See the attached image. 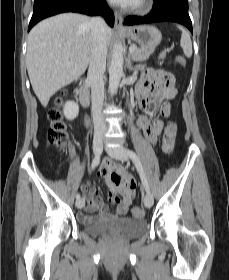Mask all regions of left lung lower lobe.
<instances>
[{"mask_svg": "<svg viewBox=\"0 0 229 280\" xmlns=\"http://www.w3.org/2000/svg\"><path fill=\"white\" fill-rule=\"evenodd\" d=\"M177 22L192 32V22L188 14V0H155L152 12L144 17L129 16L125 25H137L152 22Z\"/></svg>", "mask_w": 229, "mask_h": 280, "instance_id": "1", "label": "left lung lower lobe"}]
</instances>
